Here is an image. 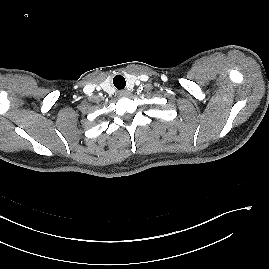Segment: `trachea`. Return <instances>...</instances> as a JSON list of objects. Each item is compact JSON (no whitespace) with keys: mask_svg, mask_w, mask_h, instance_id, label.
I'll return each mask as SVG.
<instances>
[{"mask_svg":"<svg viewBox=\"0 0 269 269\" xmlns=\"http://www.w3.org/2000/svg\"><path fill=\"white\" fill-rule=\"evenodd\" d=\"M113 83H114L115 87L119 90L124 89V87L126 85V81H125L124 77H122L120 75H117L114 77Z\"/></svg>","mask_w":269,"mask_h":269,"instance_id":"3493384b","label":"trachea"}]
</instances>
